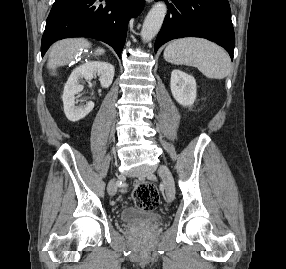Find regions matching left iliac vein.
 <instances>
[{
    "mask_svg": "<svg viewBox=\"0 0 286 269\" xmlns=\"http://www.w3.org/2000/svg\"><path fill=\"white\" fill-rule=\"evenodd\" d=\"M158 174L162 178L167 199L172 201L175 196V185L169 168L165 165H161L158 169Z\"/></svg>",
    "mask_w": 286,
    "mask_h": 269,
    "instance_id": "obj_1",
    "label": "left iliac vein"
}]
</instances>
